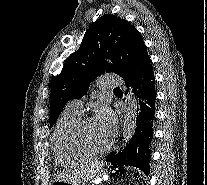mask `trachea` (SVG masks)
<instances>
[{
    "label": "trachea",
    "mask_w": 207,
    "mask_h": 185,
    "mask_svg": "<svg viewBox=\"0 0 207 185\" xmlns=\"http://www.w3.org/2000/svg\"><path fill=\"white\" fill-rule=\"evenodd\" d=\"M114 90H120V89H119V87H116V89H114Z\"/></svg>",
    "instance_id": "trachea-1"
}]
</instances>
